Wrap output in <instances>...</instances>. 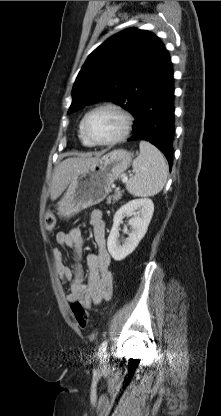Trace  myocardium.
I'll list each match as a JSON object with an SVG mask.
<instances>
[{
    "label": "myocardium",
    "mask_w": 221,
    "mask_h": 416,
    "mask_svg": "<svg viewBox=\"0 0 221 416\" xmlns=\"http://www.w3.org/2000/svg\"><path fill=\"white\" fill-rule=\"evenodd\" d=\"M104 109H108V110H112L114 112H116L122 119V128L120 133L115 136L114 138H111L109 140H105V141H97L92 139L87 131H86V124L87 121L89 119V117L99 111V110H104ZM132 115L121 105L116 104V103H112V102H106V103H102L99 104L95 107H93L92 109H90L83 117L81 125H80V131L82 136L91 144V145H97V146H109V145H114L117 144L121 141H123L130 133L131 127H132Z\"/></svg>",
    "instance_id": "myocardium-1"
}]
</instances>
